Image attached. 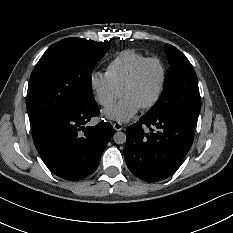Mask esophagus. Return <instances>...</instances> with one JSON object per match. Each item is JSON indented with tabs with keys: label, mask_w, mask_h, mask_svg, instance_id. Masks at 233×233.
<instances>
[{
	"label": "esophagus",
	"mask_w": 233,
	"mask_h": 233,
	"mask_svg": "<svg viewBox=\"0 0 233 233\" xmlns=\"http://www.w3.org/2000/svg\"><path fill=\"white\" fill-rule=\"evenodd\" d=\"M113 128L116 130V131H120L123 129V125L119 122H116L113 124Z\"/></svg>",
	"instance_id": "34e87169"
}]
</instances>
